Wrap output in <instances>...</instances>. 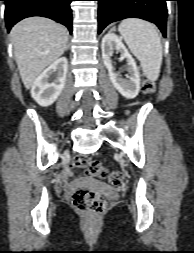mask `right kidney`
I'll return each mask as SVG.
<instances>
[{
  "label": "right kidney",
  "mask_w": 194,
  "mask_h": 253,
  "mask_svg": "<svg viewBox=\"0 0 194 253\" xmlns=\"http://www.w3.org/2000/svg\"><path fill=\"white\" fill-rule=\"evenodd\" d=\"M67 69L68 61L61 57L34 81L31 96L40 106H50L57 100L65 85Z\"/></svg>",
  "instance_id": "right-kidney-1"
}]
</instances>
